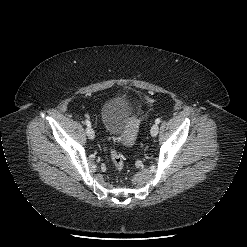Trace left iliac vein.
<instances>
[{
    "label": "left iliac vein",
    "mask_w": 247,
    "mask_h": 247,
    "mask_svg": "<svg viewBox=\"0 0 247 247\" xmlns=\"http://www.w3.org/2000/svg\"><path fill=\"white\" fill-rule=\"evenodd\" d=\"M158 132H159V126H158V124L155 123V124L151 127V131H150L151 136L155 137V136L158 134Z\"/></svg>",
    "instance_id": "left-iliac-vein-1"
}]
</instances>
